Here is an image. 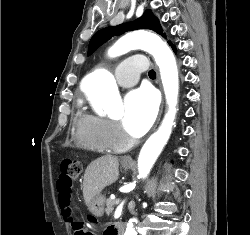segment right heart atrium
<instances>
[{
  "label": "right heart atrium",
  "instance_id": "d8ad5b80",
  "mask_svg": "<svg viewBox=\"0 0 250 235\" xmlns=\"http://www.w3.org/2000/svg\"><path fill=\"white\" fill-rule=\"evenodd\" d=\"M104 135L110 144L119 148H122L129 142L127 136L123 133L119 125L111 121H105Z\"/></svg>",
  "mask_w": 250,
  "mask_h": 235
}]
</instances>
